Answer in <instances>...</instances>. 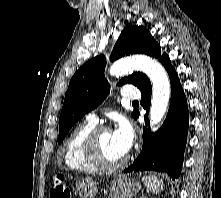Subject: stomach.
<instances>
[{
    "label": "stomach",
    "instance_id": "0dacf381",
    "mask_svg": "<svg viewBox=\"0 0 221 198\" xmlns=\"http://www.w3.org/2000/svg\"><path fill=\"white\" fill-rule=\"evenodd\" d=\"M141 190V185L133 178L120 176L110 183V198H132ZM76 192L80 198H94L97 193V182L82 179L76 183Z\"/></svg>",
    "mask_w": 221,
    "mask_h": 198
}]
</instances>
